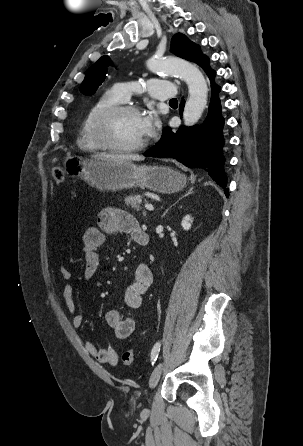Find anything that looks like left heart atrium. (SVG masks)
<instances>
[{
  "label": "left heart atrium",
  "mask_w": 303,
  "mask_h": 446,
  "mask_svg": "<svg viewBox=\"0 0 303 446\" xmlns=\"http://www.w3.org/2000/svg\"><path fill=\"white\" fill-rule=\"evenodd\" d=\"M141 129L145 137H150L156 133L159 128L157 116L150 112L140 118Z\"/></svg>",
  "instance_id": "1"
}]
</instances>
